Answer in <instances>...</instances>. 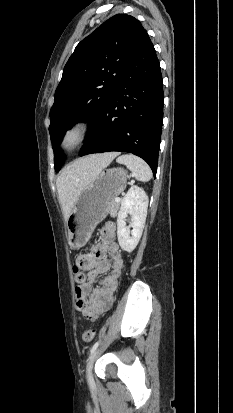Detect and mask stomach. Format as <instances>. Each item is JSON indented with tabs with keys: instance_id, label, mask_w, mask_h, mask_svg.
<instances>
[{
	"instance_id": "stomach-1",
	"label": "stomach",
	"mask_w": 233,
	"mask_h": 413,
	"mask_svg": "<svg viewBox=\"0 0 233 413\" xmlns=\"http://www.w3.org/2000/svg\"><path fill=\"white\" fill-rule=\"evenodd\" d=\"M127 178L123 168L106 169L83 189L66 221L72 248L87 243L95 227L107 216L115 197L126 188Z\"/></svg>"
}]
</instances>
